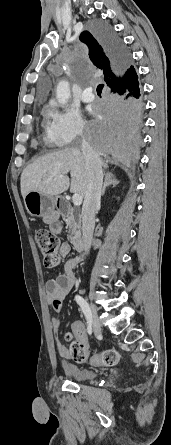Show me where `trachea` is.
Instances as JSON below:
<instances>
[{
    "label": "trachea",
    "instance_id": "1",
    "mask_svg": "<svg viewBox=\"0 0 171 445\" xmlns=\"http://www.w3.org/2000/svg\"><path fill=\"white\" fill-rule=\"evenodd\" d=\"M103 88H104V84L98 85V87H97V94L98 95H100L102 93Z\"/></svg>",
    "mask_w": 171,
    "mask_h": 445
}]
</instances>
